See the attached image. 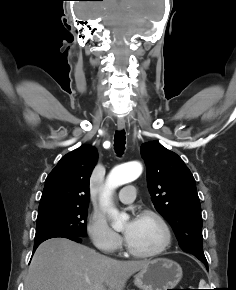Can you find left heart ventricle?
Masks as SVG:
<instances>
[{
    "label": "left heart ventricle",
    "mask_w": 236,
    "mask_h": 290,
    "mask_svg": "<svg viewBox=\"0 0 236 290\" xmlns=\"http://www.w3.org/2000/svg\"><path fill=\"white\" fill-rule=\"evenodd\" d=\"M127 241L136 250L151 251L162 243L163 232L153 218L138 217L132 235Z\"/></svg>",
    "instance_id": "left-heart-ventricle-1"
}]
</instances>
